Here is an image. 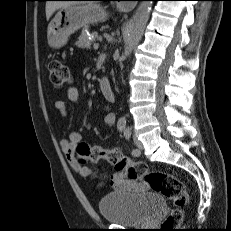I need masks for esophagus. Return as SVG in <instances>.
<instances>
[{
  "label": "esophagus",
  "mask_w": 231,
  "mask_h": 231,
  "mask_svg": "<svg viewBox=\"0 0 231 231\" xmlns=\"http://www.w3.org/2000/svg\"><path fill=\"white\" fill-rule=\"evenodd\" d=\"M119 7L126 10V11H130L134 8L133 4H125V3H121L119 4Z\"/></svg>",
  "instance_id": "34e87169"
}]
</instances>
